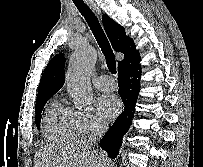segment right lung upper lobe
<instances>
[{
    "mask_svg": "<svg viewBox=\"0 0 203 167\" xmlns=\"http://www.w3.org/2000/svg\"><path fill=\"white\" fill-rule=\"evenodd\" d=\"M105 32L115 51L124 53V59L118 62V70L124 69L140 60L133 40L126 36L125 29L108 15L102 16ZM65 58L62 53L55 55L44 72L39 84L36 103L53 96L64 84Z\"/></svg>",
    "mask_w": 203,
    "mask_h": 167,
    "instance_id": "cb5924a9",
    "label": "right lung upper lobe"
}]
</instances>
